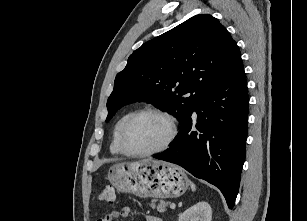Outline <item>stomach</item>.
I'll return each mask as SVG.
<instances>
[{
	"label": "stomach",
	"mask_w": 307,
	"mask_h": 221,
	"mask_svg": "<svg viewBox=\"0 0 307 221\" xmlns=\"http://www.w3.org/2000/svg\"><path fill=\"white\" fill-rule=\"evenodd\" d=\"M108 179L120 192L146 198L181 196L189 186L184 171L169 162L143 159L113 165Z\"/></svg>",
	"instance_id": "stomach-1"
}]
</instances>
